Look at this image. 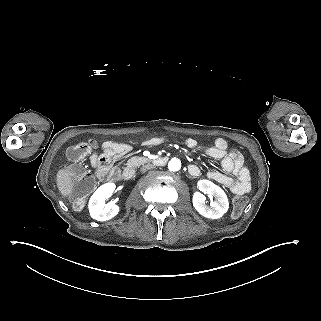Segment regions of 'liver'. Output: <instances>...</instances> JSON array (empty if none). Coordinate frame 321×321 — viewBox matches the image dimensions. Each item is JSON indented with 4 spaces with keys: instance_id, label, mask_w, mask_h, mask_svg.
<instances>
[{
    "instance_id": "6515ba94",
    "label": "liver",
    "mask_w": 321,
    "mask_h": 321,
    "mask_svg": "<svg viewBox=\"0 0 321 321\" xmlns=\"http://www.w3.org/2000/svg\"><path fill=\"white\" fill-rule=\"evenodd\" d=\"M56 184L62 197H72L76 187V173L66 165L59 167L56 174Z\"/></svg>"
}]
</instances>
